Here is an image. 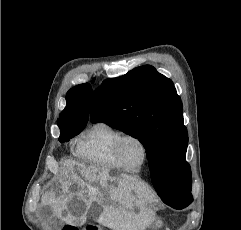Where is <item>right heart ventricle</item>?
Instances as JSON below:
<instances>
[{
	"mask_svg": "<svg viewBox=\"0 0 241 230\" xmlns=\"http://www.w3.org/2000/svg\"><path fill=\"white\" fill-rule=\"evenodd\" d=\"M122 133L111 124L99 121L82 134L77 155L85 162L121 168L115 157V143Z\"/></svg>",
	"mask_w": 241,
	"mask_h": 230,
	"instance_id": "e07e8e85",
	"label": "right heart ventricle"
}]
</instances>
